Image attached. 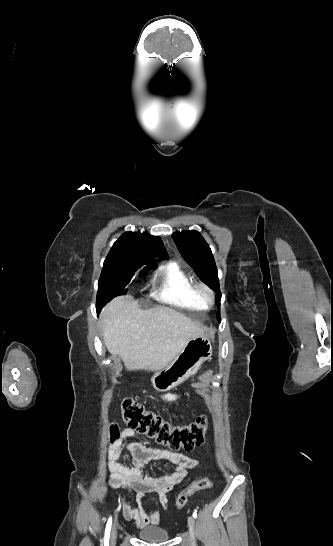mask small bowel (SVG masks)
I'll list each match as a JSON object with an SVG mask.
<instances>
[{"instance_id": "obj_1", "label": "small bowel", "mask_w": 333, "mask_h": 546, "mask_svg": "<svg viewBox=\"0 0 333 546\" xmlns=\"http://www.w3.org/2000/svg\"><path fill=\"white\" fill-rule=\"evenodd\" d=\"M180 397L181 395L177 393L161 395V399L169 403L176 402ZM123 445L133 455L129 466L118 462ZM150 461H165L176 467L169 474L148 475L144 472V466ZM197 465V459L183 453L146 447L135 439L134 431L129 428H124L119 439L108 449L107 466L110 472V487L112 489L129 487L135 491V506H132L130 500H121V502L124 518L134 521L138 527L157 525L161 521L158 511L145 509L143 502L146 496L151 493L156 494L161 505L168 509V491L186 477L188 469Z\"/></svg>"}]
</instances>
